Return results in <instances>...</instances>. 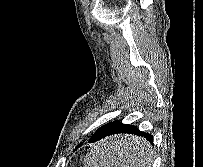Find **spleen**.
<instances>
[{"label":"spleen","mask_w":203,"mask_h":167,"mask_svg":"<svg viewBox=\"0 0 203 167\" xmlns=\"http://www.w3.org/2000/svg\"><path fill=\"white\" fill-rule=\"evenodd\" d=\"M130 144L136 146L137 152L133 156V160H127L126 153L123 150L112 149L110 144L99 143L91 149L84 159L85 167H151L152 149L149 144L139 138H129ZM116 143L115 141H113ZM135 149V148H134ZM145 149V150H144Z\"/></svg>","instance_id":"3e777b00"}]
</instances>
